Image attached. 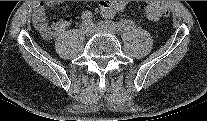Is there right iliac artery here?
I'll return each mask as SVG.
<instances>
[{"label": "right iliac artery", "mask_w": 207, "mask_h": 121, "mask_svg": "<svg viewBox=\"0 0 207 121\" xmlns=\"http://www.w3.org/2000/svg\"><path fill=\"white\" fill-rule=\"evenodd\" d=\"M92 18H93L92 13H90L89 11L83 12L82 19L85 22L92 24Z\"/></svg>", "instance_id": "obj_1"}]
</instances>
